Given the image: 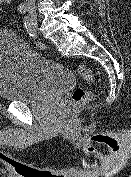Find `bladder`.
I'll return each mask as SVG.
<instances>
[{
    "label": "bladder",
    "instance_id": "obj_1",
    "mask_svg": "<svg viewBox=\"0 0 131 177\" xmlns=\"http://www.w3.org/2000/svg\"><path fill=\"white\" fill-rule=\"evenodd\" d=\"M75 83L73 72L25 46L17 34L0 31V98L28 103L59 95Z\"/></svg>",
    "mask_w": 131,
    "mask_h": 177
}]
</instances>
